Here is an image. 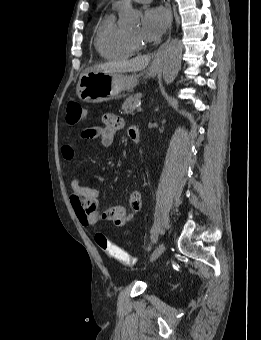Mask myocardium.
I'll use <instances>...</instances> for the list:
<instances>
[{"mask_svg":"<svg viewBox=\"0 0 261 340\" xmlns=\"http://www.w3.org/2000/svg\"><path fill=\"white\" fill-rule=\"evenodd\" d=\"M127 37H128V40H129L130 44L132 45V47H133L135 50H142V49L145 48V45L143 44L142 41L133 38V37L130 36L129 34H127Z\"/></svg>","mask_w":261,"mask_h":340,"instance_id":"1","label":"myocardium"}]
</instances>
